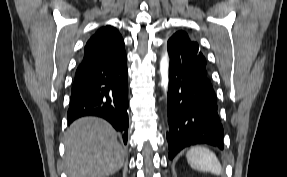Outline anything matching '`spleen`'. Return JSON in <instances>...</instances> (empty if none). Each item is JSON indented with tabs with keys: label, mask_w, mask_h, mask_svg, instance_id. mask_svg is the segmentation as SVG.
<instances>
[{
	"label": "spleen",
	"mask_w": 287,
	"mask_h": 177,
	"mask_svg": "<svg viewBox=\"0 0 287 177\" xmlns=\"http://www.w3.org/2000/svg\"><path fill=\"white\" fill-rule=\"evenodd\" d=\"M187 162L191 168L220 175L221 164L216 155L209 149L201 146L192 147L186 154Z\"/></svg>",
	"instance_id": "obj_1"
}]
</instances>
